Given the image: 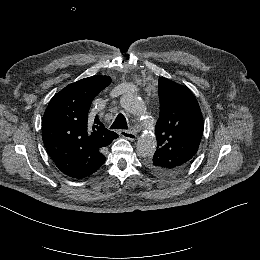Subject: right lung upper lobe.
I'll list each match as a JSON object with an SVG mask.
<instances>
[{
	"instance_id": "right-lung-upper-lobe-1",
	"label": "right lung upper lobe",
	"mask_w": 260,
	"mask_h": 260,
	"mask_svg": "<svg viewBox=\"0 0 260 260\" xmlns=\"http://www.w3.org/2000/svg\"><path fill=\"white\" fill-rule=\"evenodd\" d=\"M111 82L94 76L68 85L50 101L42 121V139L56 166L73 178L94 173L104 162L102 154L118 135L106 129L98 116L88 114L93 99Z\"/></svg>"
}]
</instances>
